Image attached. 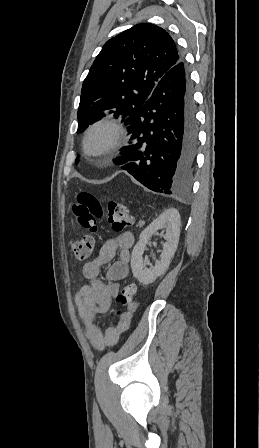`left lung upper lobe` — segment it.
I'll use <instances>...</instances> for the list:
<instances>
[{"instance_id":"1","label":"left lung upper lobe","mask_w":259,"mask_h":448,"mask_svg":"<svg viewBox=\"0 0 259 448\" xmlns=\"http://www.w3.org/2000/svg\"><path fill=\"white\" fill-rule=\"evenodd\" d=\"M181 58L172 37L153 24L135 25L108 40L83 82L78 132L107 111L126 124L130 112L147 102L162 76Z\"/></svg>"}]
</instances>
